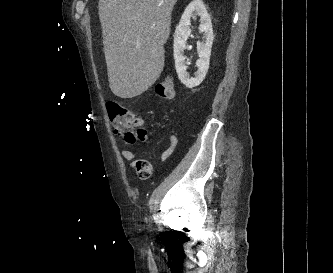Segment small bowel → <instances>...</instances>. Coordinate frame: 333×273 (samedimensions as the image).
<instances>
[{
  "mask_svg": "<svg viewBox=\"0 0 333 273\" xmlns=\"http://www.w3.org/2000/svg\"><path fill=\"white\" fill-rule=\"evenodd\" d=\"M137 112H138L137 121H138V123L143 125V123H145V121H146V118H145L146 113H145V111H142V107H137ZM177 145H178V137L175 134H171L168 138V146L164 149V151L160 155V160L165 161L166 159H168L175 151ZM121 155H122L123 159L130 162L132 167H135L137 158H136V154L132 150L123 149L121 151Z\"/></svg>",
  "mask_w": 333,
  "mask_h": 273,
  "instance_id": "c3829d8e",
  "label": "small bowel"
}]
</instances>
